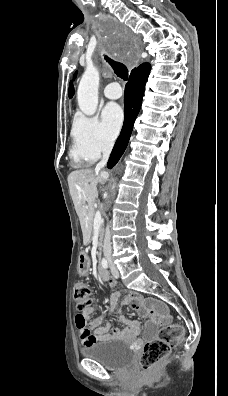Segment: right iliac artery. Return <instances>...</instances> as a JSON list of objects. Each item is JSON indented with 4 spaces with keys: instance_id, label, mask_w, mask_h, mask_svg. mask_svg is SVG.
Returning <instances> with one entry per match:
<instances>
[{
    "instance_id": "obj_1",
    "label": "right iliac artery",
    "mask_w": 228,
    "mask_h": 396,
    "mask_svg": "<svg viewBox=\"0 0 228 396\" xmlns=\"http://www.w3.org/2000/svg\"><path fill=\"white\" fill-rule=\"evenodd\" d=\"M101 265L103 268L107 269L108 268V262L105 258L102 259L101 261Z\"/></svg>"
}]
</instances>
